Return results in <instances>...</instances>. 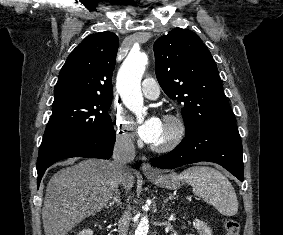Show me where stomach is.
<instances>
[{"instance_id":"obj_1","label":"stomach","mask_w":283,"mask_h":235,"mask_svg":"<svg viewBox=\"0 0 283 235\" xmlns=\"http://www.w3.org/2000/svg\"><path fill=\"white\" fill-rule=\"evenodd\" d=\"M146 176L151 182L160 187H165L168 189H177L180 186V180L178 178V175L174 172H171L166 175L155 174Z\"/></svg>"}]
</instances>
